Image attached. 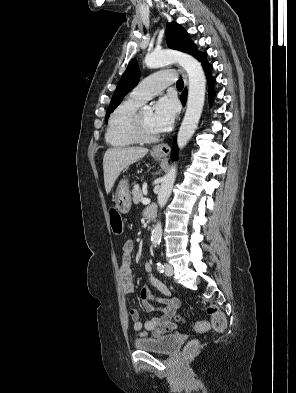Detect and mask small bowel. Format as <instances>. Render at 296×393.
Returning a JSON list of instances; mask_svg holds the SVG:
<instances>
[{
    "mask_svg": "<svg viewBox=\"0 0 296 393\" xmlns=\"http://www.w3.org/2000/svg\"><path fill=\"white\" fill-rule=\"evenodd\" d=\"M133 241L127 240L122 247V259L119 268V276L124 293L133 294ZM145 271L148 274L149 282L159 290L165 298H159L151 294L146 288H142L139 301L141 310L145 312H160V315L146 322L141 321V310L133 308L129 315L133 322V327L140 335L145 336L151 333L154 336H161L168 332L174 331L176 325L171 321L172 316L180 306L178 298L171 297V292L166 285L153 276V267L150 263L145 264Z\"/></svg>",
    "mask_w": 296,
    "mask_h": 393,
    "instance_id": "obj_1",
    "label": "small bowel"
}]
</instances>
